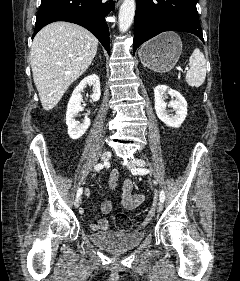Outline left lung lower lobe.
I'll list each match as a JSON object with an SVG mask.
<instances>
[{
  "instance_id": "obj_1",
  "label": "left lung lower lobe",
  "mask_w": 240,
  "mask_h": 281,
  "mask_svg": "<svg viewBox=\"0 0 240 281\" xmlns=\"http://www.w3.org/2000/svg\"><path fill=\"white\" fill-rule=\"evenodd\" d=\"M196 1L137 0L133 52L145 41L165 31L189 32L204 42Z\"/></svg>"
}]
</instances>
